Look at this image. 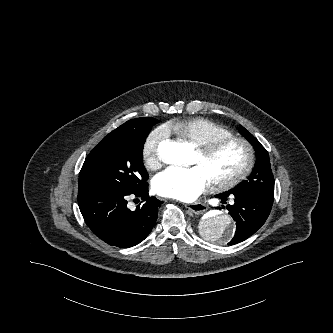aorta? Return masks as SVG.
Wrapping results in <instances>:
<instances>
[{"instance_id":"762f6f07","label":"aorta","mask_w":333,"mask_h":333,"mask_svg":"<svg viewBox=\"0 0 333 333\" xmlns=\"http://www.w3.org/2000/svg\"><path fill=\"white\" fill-rule=\"evenodd\" d=\"M158 152L161 160L167 164L184 165L190 156L189 147L178 142L163 143ZM234 229V222L228 214L213 211L203 220L201 234L206 240L225 243L232 238Z\"/></svg>"}]
</instances>
